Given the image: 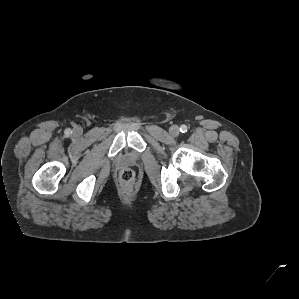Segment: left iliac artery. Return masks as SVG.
Returning a JSON list of instances; mask_svg holds the SVG:
<instances>
[{"label":"left iliac artery","mask_w":299,"mask_h":299,"mask_svg":"<svg viewBox=\"0 0 299 299\" xmlns=\"http://www.w3.org/2000/svg\"><path fill=\"white\" fill-rule=\"evenodd\" d=\"M187 130H188V128H187L186 125H181V126H180V131H181L182 133L187 132Z\"/></svg>","instance_id":"left-iliac-artery-1"}]
</instances>
